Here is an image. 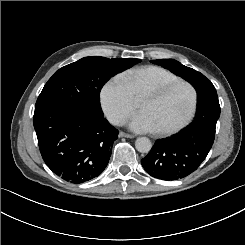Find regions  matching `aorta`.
Returning <instances> with one entry per match:
<instances>
[{
    "label": "aorta",
    "mask_w": 245,
    "mask_h": 245,
    "mask_svg": "<svg viewBox=\"0 0 245 245\" xmlns=\"http://www.w3.org/2000/svg\"><path fill=\"white\" fill-rule=\"evenodd\" d=\"M135 147L140 153H148L152 148V143L146 137H139L135 141Z\"/></svg>",
    "instance_id": "762f6f07"
}]
</instances>
